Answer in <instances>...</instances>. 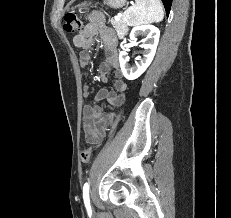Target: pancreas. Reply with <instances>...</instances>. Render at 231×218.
Segmentation results:
<instances>
[{
	"label": "pancreas",
	"instance_id": "obj_1",
	"mask_svg": "<svg viewBox=\"0 0 231 218\" xmlns=\"http://www.w3.org/2000/svg\"><path fill=\"white\" fill-rule=\"evenodd\" d=\"M111 24L113 25V27L117 31L118 37L123 38L128 31V27H127L126 23L124 22V20L123 19L111 20Z\"/></svg>",
	"mask_w": 231,
	"mask_h": 218
}]
</instances>
